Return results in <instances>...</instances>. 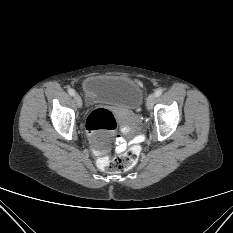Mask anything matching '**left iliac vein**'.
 Listing matches in <instances>:
<instances>
[{
	"label": "left iliac vein",
	"mask_w": 233,
	"mask_h": 233,
	"mask_svg": "<svg viewBox=\"0 0 233 233\" xmlns=\"http://www.w3.org/2000/svg\"><path fill=\"white\" fill-rule=\"evenodd\" d=\"M155 99H156V96H155V93H152L148 96L147 98V102H146V106L148 108V110H151L152 107H153V104L155 102Z\"/></svg>",
	"instance_id": "left-iliac-vein-1"
}]
</instances>
